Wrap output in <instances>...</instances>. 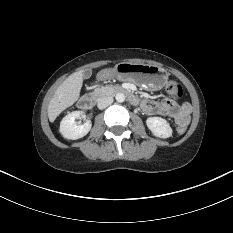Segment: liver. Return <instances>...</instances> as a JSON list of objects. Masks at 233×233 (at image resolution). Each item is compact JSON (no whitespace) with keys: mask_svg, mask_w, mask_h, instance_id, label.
I'll use <instances>...</instances> for the list:
<instances>
[{"mask_svg":"<svg viewBox=\"0 0 233 233\" xmlns=\"http://www.w3.org/2000/svg\"><path fill=\"white\" fill-rule=\"evenodd\" d=\"M82 85L83 72L79 71L68 76L57 88L48 105L47 112L50 122H54L61 112L78 100Z\"/></svg>","mask_w":233,"mask_h":233,"instance_id":"obj_1","label":"liver"}]
</instances>
